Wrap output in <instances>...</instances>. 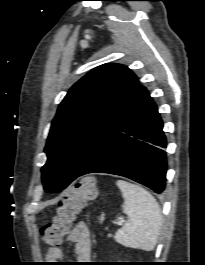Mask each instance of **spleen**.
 <instances>
[{"mask_svg":"<svg viewBox=\"0 0 205 265\" xmlns=\"http://www.w3.org/2000/svg\"><path fill=\"white\" fill-rule=\"evenodd\" d=\"M117 186L124 198L122 207L128 221L116 232L115 241L125 247L152 251L162 227L158 202L145 188L137 184L118 180Z\"/></svg>","mask_w":205,"mask_h":265,"instance_id":"1","label":"spleen"}]
</instances>
